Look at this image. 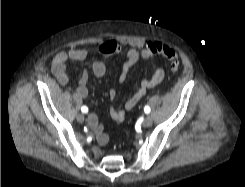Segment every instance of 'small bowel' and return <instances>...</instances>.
I'll return each instance as SVG.
<instances>
[{
	"label": "small bowel",
	"mask_w": 245,
	"mask_h": 187,
	"mask_svg": "<svg viewBox=\"0 0 245 187\" xmlns=\"http://www.w3.org/2000/svg\"><path fill=\"white\" fill-rule=\"evenodd\" d=\"M156 45H162L158 41L148 43L144 48H130L125 53V61L122 65L118 80L124 83L127 80L131 67L141 59H148L156 55L151 48ZM121 46L114 40L103 41L96 49V53L101 59L108 58L112 55L119 54ZM90 56V52L86 49H69L67 51L57 52L51 62V70L56 80L61 85H67L70 81V76L67 73L66 64L68 61H85ZM101 59H96L91 64L93 74L98 78H103L106 75L107 69ZM165 77V71L162 68H157L153 74L141 81L137 91L128 98L122 106H113L110 108L111 118L118 124L122 123L125 117V110L133 109L140 99L152 88L162 84ZM89 81V72L84 70L79 78L78 84L69 89L80 99L88 96L87 83ZM109 97H116V90H109ZM89 126L94 130L96 140L99 144H106L109 137L103 132V126L96 115H91L88 119Z\"/></svg>",
	"instance_id": "c3829d8e"
}]
</instances>
